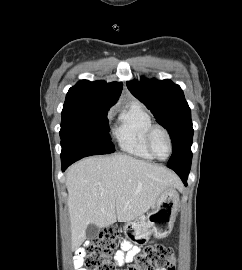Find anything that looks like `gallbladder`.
Wrapping results in <instances>:
<instances>
[{"label": "gallbladder", "mask_w": 242, "mask_h": 270, "mask_svg": "<svg viewBox=\"0 0 242 270\" xmlns=\"http://www.w3.org/2000/svg\"><path fill=\"white\" fill-rule=\"evenodd\" d=\"M99 228L95 224H89L86 228V235L89 239H93L97 236Z\"/></svg>", "instance_id": "bac80fb5"}]
</instances>
